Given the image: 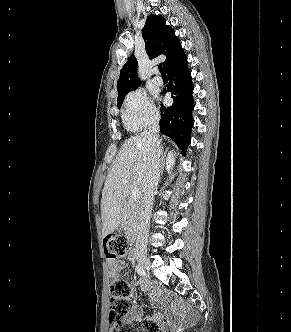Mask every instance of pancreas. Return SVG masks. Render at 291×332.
<instances>
[{
  "mask_svg": "<svg viewBox=\"0 0 291 332\" xmlns=\"http://www.w3.org/2000/svg\"><path fill=\"white\" fill-rule=\"evenodd\" d=\"M139 204L132 202L125 207L122 227L130 232L136 225Z\"/></svg>",
  "mask_w": 291,
  "mask_h": 332,
  "instance_id": "1",
  "label": "pancreas"
}]
</instances>
